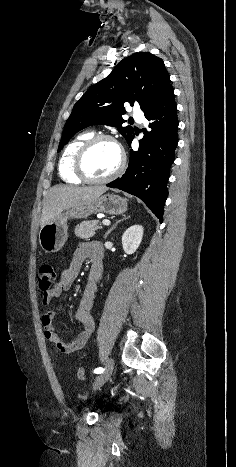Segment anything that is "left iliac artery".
I'll return each instance as SVG.
<instances>
[{
    "label": "left iliac artery",
    "mask_w": 236,
    "mask_h": 467,
    "mask_svg": "<svg viewBox=\"0 0 236 467\" xmlns=\"http://www.w3.org/2000/svg\"><path fill=\"white\" fill-rule=\"evenodd\" d=\"M103 371L104 369L102 367H99L94 370V373L99 374V373H102Z\"/></svg>",
    "instance_id": "1"
}]
</instances>
